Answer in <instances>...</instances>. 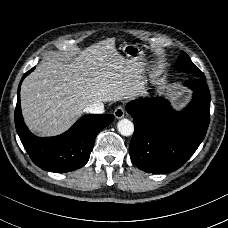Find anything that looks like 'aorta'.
Instances as JSON below:
<instances>
[{
  "mask_svg": "<svg viewBox=\"0 0 228 228\" xmlns=\"http://www.w3.org/2000/svg\"><path fill=\"white\" fill-rule=\"evenodd\" d=\"M117 129L121 135L130 136L134 132V125L129 119L123 118L118 121Z\"/></svg>",
  "mask_w": 228,
  "mask_h": 228,
  "instance_id": "aorta-1",
  "label": "aorta"
}]
</instances>
